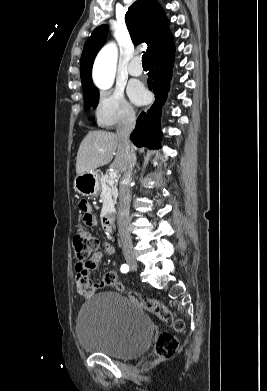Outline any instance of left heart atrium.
I'll return each instance as SVG.
<instances>
[{"mask_svg": "<svg viewBox=\"0 0 267 391\" xmlns=\"http://www.w3.org/2000/svg\"><path fill=\"white\" fill-rule=\"evenodd\" d=\"M128 93L133 102L142 104L147 98V93L143 85L139 82H133L128 88Z\"/></svg>", "mask_w": 267, "mask_h": 391, "instance_id": "left-heart-atrium-1", "label": "left heart atrium"}]
</instances>
